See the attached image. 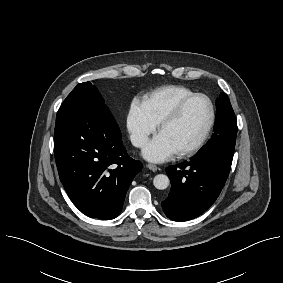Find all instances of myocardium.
I'll return each mask as SVG.
<instances>
[{
	"label": "myocardium",
	"mask_w": 283,
	"mask_h": 283,
	"mask_svg": "<svg viewBox=\"0 0 283 283\" xmlns=\"http://www.w3.org/2000/svg\"><path fill=\"white\" fill-rule=\"evenodd\" d=\"M199 98H203L205 100L208 101L209 106H210V119L208 122V125L204 131V133L202 134V136L200 137V139L193 144L192 146H190L187 149H184L180 152L177 153V155L179 157H188V156H192L194 155L196 152H198L206 143V141L208 140L211 131L214 127L215 124V119H216V109H215V105L213 100L206 94L203 93H195L191 96L186 97L185 99H183L173 110L172 112L167 115L160 123H159V132H161L165 127H167L168 125L174 123L175 121H177L180 116L182 115V113L184 112L185 108L194 100L199 99Z\"/></svg>",
	"instance_id": "obj_1"
}]
</instances>
